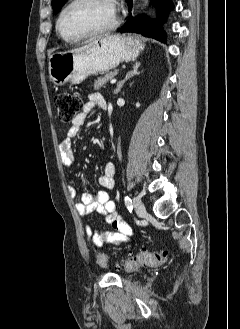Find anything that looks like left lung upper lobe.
<instances>
[{
  "instance_id": "5c2ea615",
  "label": "left lung upper lobe",
  "mask_w": 240,
  "mask_h": 329,
  "mask_svg": "<svg viewBox=\"0 0 240 329\" xmlns=\"http://www.w3.org/2000/svg\"><path fill=\"white\" fill-rule=\"evenodd\" d=\"M67 0H52V7L55 14L59 12Z\"/></svg>"
}]
</instances>
